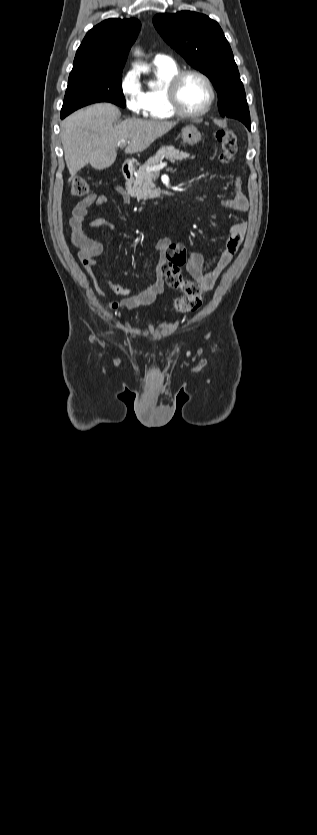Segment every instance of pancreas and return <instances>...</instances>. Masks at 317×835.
Segmentation results:
<instances>
[{
	"mask_svg": "<svg viewBox=\"0 0 317 835\" xmlns=\"http://www.w3.org/2000/svg\"><path fill=\"white\" fill-rule=\"evenodd\" d=\"M189 156L190 155L188 153L179 152V150L175 149L173 146L161 147L153 157L149 158L144 165L139 167L135 178L127 182V193L131 197H135L138 200L160 197L161 191L155 190V184L153 183V178L158 175V171L147 172L146 169L159 164L164 158L175 162L185 160L189 158Z\"/></svg>",
	"mask_w": 317,
	"mask_h": 835,
	"instance_id": "1",
	"label": "pancreas"
}]
</instances>
